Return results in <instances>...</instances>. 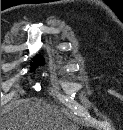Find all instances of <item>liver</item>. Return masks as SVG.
I'll return each instance as SVG.
<instances>
[{
  "mask_svg": "<svg viewBox=\"0 0 123 130\" xmlns=\"http://www.w3.org/2000/svg\"><path fill=\"white\" fill-rule=\"evenodd\" d=\"M1 118V130H67L63 115L55 106L39 100L20 99Z\"/></svg>",
  "mask_w": 123,
  "mask_h": 130,
  "instance_id": "1",
  "label": "liver"
}]
</instances>
